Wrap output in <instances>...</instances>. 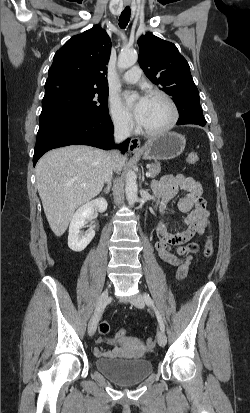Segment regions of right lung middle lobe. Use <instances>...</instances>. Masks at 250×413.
Segmentation results:
<instances>
[{
	"label": "right lung middle lobe",
	"mask_w": 250,
	"mask_h": 413,
	"mask_svg": "<svg viewBox=\"0 0 250 413\" xmlns=\"http://www.w3.org/2000/svg\"><path fill=\"white\" fill-rule=\"evenodd\" d=\"M108 89L64 85L45 93L40 123L62 114L108 115Z\"/></svg>",
	"instance_id": "right-lung-middle-lobe-1"
}]
</instances>
